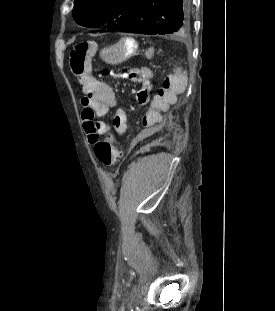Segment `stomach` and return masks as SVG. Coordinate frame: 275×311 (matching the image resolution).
<instances>
[{
	"instance_id": "0dacf381",
	"label": "stomach",
	"mask_w": 275,
	"mask_h": 311,
	"mask_svg": "<svg viewBox=\"0 0 275 311\" xmlns=\"http://www.w3.org/2000/svg\"><path fill=\"white\" fill-rule=\"evenodd\" d=\"M137 50L136 41L131 38H123L118 43L103 48L100 57L108 64L117 65L136 55Z\"/></svg>"
}]
</instances>
